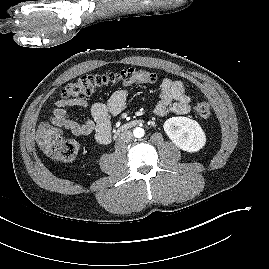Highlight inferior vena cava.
<instances>
[{
  "instance_id": "obj_1",
  "label": "inferior vena cava",
  "mask_w": 269,
  "mask_h": 269,
  "mask_svg": "<svg viewBox=\"0 0 269 269\" xmlns=\"http://www.w3.org/2000/svg\"><path fill=\"white\" fill-rule=\"evenodd\" d=\"M133 137V134L131 131L129 130H126V131H123L120 135H119V141L120 142H128L132 139Z\"/></svg>"
}]
</instances>
